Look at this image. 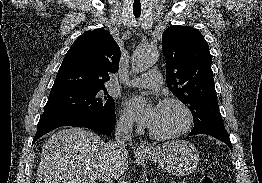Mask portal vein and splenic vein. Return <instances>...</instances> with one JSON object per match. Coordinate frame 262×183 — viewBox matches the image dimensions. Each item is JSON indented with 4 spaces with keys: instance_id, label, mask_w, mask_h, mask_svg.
<instances>
[{
    "instance_id": "18ae733b",
    "label": "portal vein and splenic vein",
    "mask_w": 262,
    "mask_h": 183,
    "mask_svg": "<svg viewBox=\"0 0 262 183\" xmlns=\"http://www.w3.org/2000/svg\"><path fill=\"white\" fill-rule=\"evenodd\" d=\"M106 181L111 183V180H106Z\"/></svg>"
}]
</instances>
